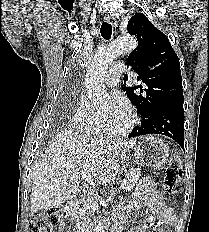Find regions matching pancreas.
I'll return each mask as SVG.
<instances>
[{
	"instance_id": "pancreas-1",
	"label": "pancreas",
	"mask_w": 209,
	"mask_h": 232,
	"mask_svg": "<svg viewBox=\"0 0 209 232\" xmlns=\"http://www.w3.org/2000/svg\"><path fill=\"white\" fill-rule=\"evenodd\" d=\"M125 177L127 179V186L126 189L131 190L135 187L136 183L138 182V179L140 177V170L139 169H131L128 172H126ZM87 208L81 207L77 211V219H82V216L85 213V209L91 208L94 211L98 210V204L96 202H89L87 204Z\"/></svg>"
}]
</instances>
